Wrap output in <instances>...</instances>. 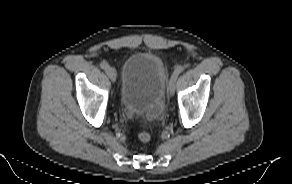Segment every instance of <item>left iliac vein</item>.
Listing matches in <instances>:
<instances>
[{
    "label": "left iliac vein",
    "instance_id": "4c4485c4",
    "mask_svg": "<svg viewBox=\"0 0 292 184\" xmlns=\"http://www.w3.org/2000/svg\"><path fill=\"white\" fill-rule=\"evenodd\" d=\"M177 76H171V79L169 81V85H168V94L170 96H173L174 91H175V82H176Z\"/></svg>",
    "mask_w": 292,
    "mask_h": 184
}]
</instances>
